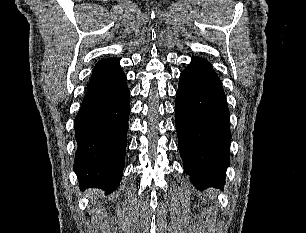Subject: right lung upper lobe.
<instances>
[{"label":"right lung upper lobe","mask_w":306,"mask_h":233,"mask_svg":"<svg viewBox=\"0 0 306 233\" xmlns=\"http://www.w3.org/2000/svg\"><path fill=\"white\" fill-rule=\"evenodd\" d=\"M120 70H122L120 64L115 58H108L99 61L93 69V75L89 81L88 87L109 79Z\"/></svg>","instance_id":"cb5924a9"}]
</instances>
